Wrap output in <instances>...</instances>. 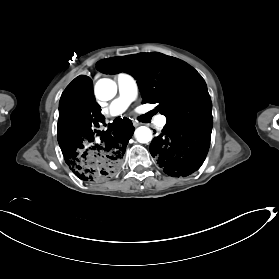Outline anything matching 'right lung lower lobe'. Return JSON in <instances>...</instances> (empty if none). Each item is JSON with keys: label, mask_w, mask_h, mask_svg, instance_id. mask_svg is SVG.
<instances>
[{"label": "right lung lower lobe", "mask_w": 279, "mask_h": 279, "mask_svg": "<svg viewBox=\"0 0 279 279\" xmlns=\"http://www.w3.org/2000/svg\"><path fill=\"white\" fill-rule=\"evenodd\" d=\"M104 119L95 102L92 80L78 76L60 99L58 142L70 170L89 183L107 181L118 173L135 130L128 118H117L106 131L94 130Z\"/></svg>", "instance_id": "98d812e1"}]
</instances>
